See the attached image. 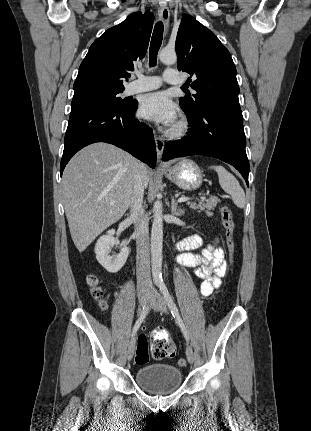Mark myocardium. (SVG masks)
Instances as JSON below:
<instances>
[{
	"label": "myocardium",
	"instance_id": "obj_1",
	"mask_svg": "<svg viewBox=\"0 0 311 431\" xmlns=\"http://www.w3.org/2000/svg\"><path fill=\"white\" fill-rule=\"evenodd\" d=\"M190 130V123L187 118H182L173 128L168 131V136L178 138L186 135Z\"/></svg>",
	"mask_w": 311,
	"mask_h": 431
}]
</instances>
